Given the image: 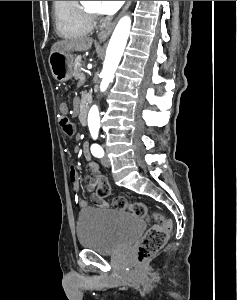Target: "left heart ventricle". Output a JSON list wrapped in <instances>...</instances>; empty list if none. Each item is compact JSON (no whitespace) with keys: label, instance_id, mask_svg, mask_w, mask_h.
<instances>
[{"label":"left heart ventricle","instance_id":"b2bd125f","mask_svg":"<svg viewBox=\"0 0 237 300\" xmlns=\"http://www.w3.org/2000/svg\"><path fill=\"white\" fill-rule=\"evenodd\" d=\"M85 6L93 11H100V1H85Z\"/></svg>","mask_w":237,"mask_h":300}]
</instances>
